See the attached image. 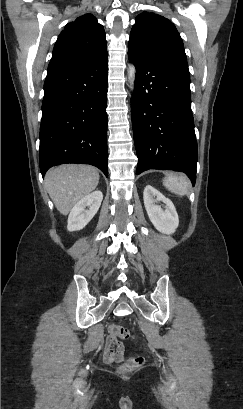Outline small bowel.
Returning <instances> with one entry per match:
<instances>
[{
  "instance_id": "c3829d8e",
  "label": "small bowel",
  "mask_w": 243,
  "mask_h": 409,
  "mask_svg": "<svg viewBox=\"0 0 243 409\" xmlns=\"http://www.w3.org/2000/svg\"><path fill=\"white\" fill-rule=\"evenodd\" d=\"M102 358L107 364L122 362L125 358L124 348L113 333H110L106 338Z\"/></svg>"
}]
</instances>
